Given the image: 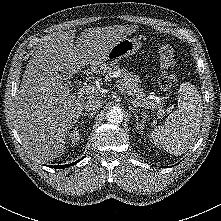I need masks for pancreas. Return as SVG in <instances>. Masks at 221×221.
<instances>
[{"instance_id": "1", "label": "pancreas", "mask_w": 221, "mask_h": 221, "mask_svg": "<svg viewBox=\"0 0 221 221\" xmlns=\"http://www.w3.org/2000/svg\"><path fill=\"white\" fill-rule=\"evenodd\" d=\"M116 72L119 73L121 77L119 80L120 85L125 89V92L129 96L134 97L135 101L138 103H149V108L154 111L156 110L159 118L164 115L165 112L161 104L156 105L153 102L146 100L143 89L137 84L138 77L136 75H133V73L128 72L124 68L115 67L113 70L109 71V76Z\"/></svg>"}]
</instances>
